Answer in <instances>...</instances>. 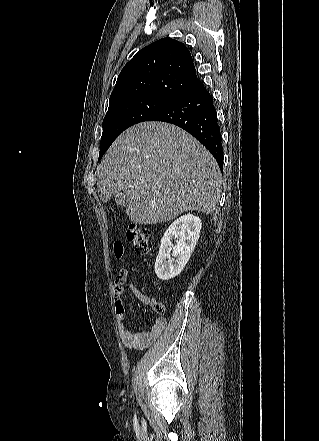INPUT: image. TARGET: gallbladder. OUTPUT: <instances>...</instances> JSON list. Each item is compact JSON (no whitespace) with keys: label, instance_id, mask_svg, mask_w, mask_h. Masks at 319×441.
Returning a JSON list of instances; mask_svg holds the SVG:
<instances>
[{"label":"gallbladder","instance_id":"obj_1","mask_svg":"<svg viewBox=\"0 0 319 441\" xmlns=\"http://www.w3.org/2000/svg\"><path fill=\"white\" fill-rule=\"evenodd\" d=\"M115 202L118 206H124L125 205V196L122 192L118 193L115 196Z\"/></svg>","mask_w":319,"mask_h":441}]
</instances>
